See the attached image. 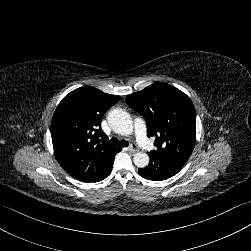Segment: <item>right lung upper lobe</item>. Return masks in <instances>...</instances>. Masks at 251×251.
<instances>
[{"label":"right lung upper lobe","instance_id":"obj_1","mask_svg":"<svg viewBox=\"0 0 251 251\" xmlns=\"http://www.w3.org/2000/svg\"><path fill=\"white\" fill-rule=\"evenodd\" d=\"M120 96L105 94L90 86L73 90L57 106L51 137L61 167L82 182H98L113 165L119 147H110L101 130L105 112Z\"/></svg>","mask_w":251,"mask_h":251}]
</instances>
